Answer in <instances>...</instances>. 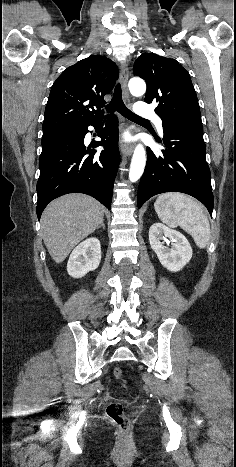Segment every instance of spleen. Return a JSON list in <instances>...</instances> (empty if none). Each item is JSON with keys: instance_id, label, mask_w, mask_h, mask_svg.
<instances>
[{"instance_id": "spleen-1", "label": "spleen", "mask_w": 236, "mask_h": 467, "mask_svg": "<svg viewBox=\"0 0 236 467\" xmlns=\"http://www.w3.org/2000/svg\"><path fill=\"white\" fill-rule=\"evenodd\" d=\"M159 219L171 228L180 226L189 233L199 248L210 238V224L203 207L182 193L161 194L154 203Z\"/></svg>"}]
</instances>
